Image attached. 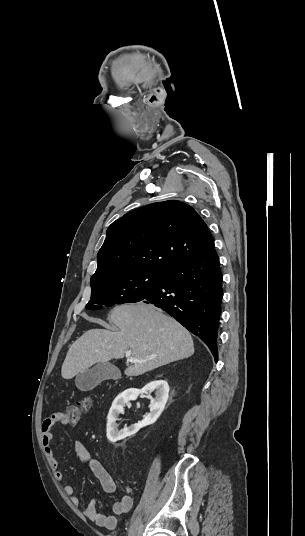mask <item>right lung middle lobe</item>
I'll return each mask as SVG.
<instances>
[{
	"label": "right lung middle lobe",
	"instance_id": "right-lung-middle-lobe-1",
	"mask_svg": "<svg viewBox=\"0 0 305 536\" xmlns=\"http://www.w3.org/2000/svg\"><path fill=\"white\" fill-rule=\"evenodd\" d=\"M165 272L135 271L120 277L91 281L92 295L87 309L137 302L156 289L165 278Z\"/></svg>",
	"mask_w": 305,
	"mask_h": 536
}]
</instances>
